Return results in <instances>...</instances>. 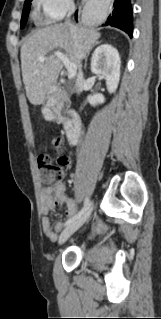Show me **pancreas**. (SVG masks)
I'll return each mask as SVG.
<instances>
[{
	"label": "pancreas",
	"instance_id": "cf45deb5",
	"mask_svg": "<svg viewBox=\"0 0 161 319\" xmlns=\"http://www.w3.org/2000/svg\"><path fill=\"white\" fill-rule=\"evenodd\" d=\"M63 106V102H58L55 106H54V113L56 115V117L58 118L59 121H63V118L61 117V108Z\"/></svg>",
	"mask_w": 161,
	"mask_h": 319
}]
</instances>
